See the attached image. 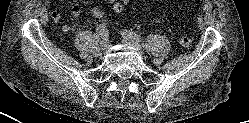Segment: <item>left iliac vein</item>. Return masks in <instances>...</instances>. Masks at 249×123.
Returning a JSON list of instances; mask_svg holds the SVG:
<instances>
[{"mask_svg": "<svg viewBox=\"0 0 249 123\" xmlns=\"http://www.w3.org/2000/svg\"><path fill=\"white\" fill-rule=\"evenodd\" d=\"M123 41L129 45H132L133 47H135L139 52H142V48L140 45V41L129 37L128 35L123 33Z\"/></svg>", "mask_w": 249, "mask_h": 123, "instance_id": "obj_1", "label": "left iliac vein"}]
</instances>
